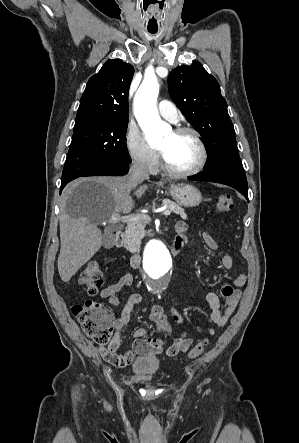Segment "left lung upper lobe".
Returning a JSON list of instances; mask_svg holds the SVG:
<instances>
[{
    "label": "left lung upper lobe",
    "instance_id": "5c2ea615",
    "mask_svg": "<svg viewBox=\"0 0 299 443\" xmlns=\"http://www.w3.org/2000/svg\"><path fill=\"white\" fill-rule=\"evenodd\" d=\"M168 89L172 100L206 143L204 170L219 167L243 169L234 127L217 80L194 61L169 74Z\"/></svg>",
    "mask_w": 299,
    "mask_h": 443
}]
</instances>
